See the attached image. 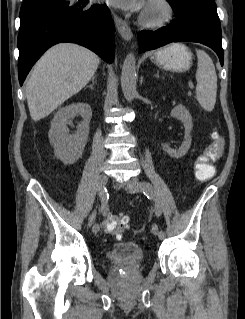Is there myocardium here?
<instances>
[{
	"label": "myocardium",
	"instance_id": "obj_1",
	"mask_svg": "<svg viewBox=\"0 0 245 319\" xmlns=\"http://www.w3.org/2000/svg\"><path fill=\"white\" fill-rule=\"evenodd\" d=\"M150 7L158 8V15L151 16L148 13ZM174 15V8L169 0H148L140 16V23L148 29H158L169 24L173 20Z\"/></svg>",
	"mask_w": 245,
	"mask_h": 319
}]
</instances>
